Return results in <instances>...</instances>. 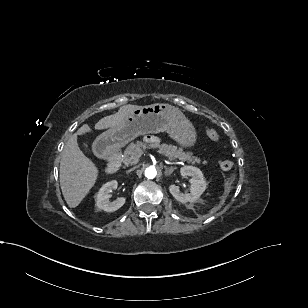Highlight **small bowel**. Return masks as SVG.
<instances>
[{"label":"small bowel","instance_id":"obj_1","mask_svg":"<svg viewBox=\"0 0 308 308\" xmlns=\"http://www.w3.org/2000/svg\"><path fill=\"white\" fill-rule=\"evenodd\" d=\"M147 141H149V142H157V138L151 136V137H148V138H147Z\"/></svg>","mask_w":308,"mask_h":308}]
</instances>
